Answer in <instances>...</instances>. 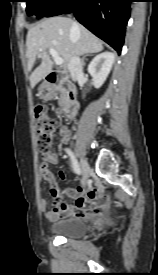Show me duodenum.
<instances>
[{
	"instance_id": "410a0bca",
	"label": "duodenum",
	"mask_w": 158,
	"mask_h": 275,
	"mask_svg": "<svg viewBox=\"0 0 158 275\" xmlns=\"http://www.w3.org/2000/svg\"><path fill=\"white\" fill-rule=\"evenodd\" d=\"M64 75L60 71H50L46 75L47 86L45 88L49 96L53 97V93L63 84ZM79 102L75 87H69L66 90V102L64 104V114L67 119H73L78 111Z\"/></svg>"
}]
</instances>
